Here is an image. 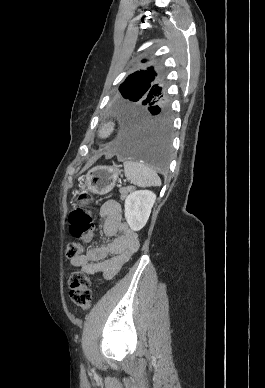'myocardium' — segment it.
Returning <instances> with one entry per match:
<instances>
[{"instance_id":"obj_1","label":"myocardium","mask_w":265,"mask_h":388,"mask_svg":"<svg viewBox=\"0 0 265 388\" xmlns=\"http://www.w3.org/2000/svg\"><path fill=\"white\" fill-rule=\"evenodd\" d=\"M113 132V125L112 123L108 122V123H105L102 128H101V136L103 138H107L111 135V133Z\"/></svg>"}]
</instances>
